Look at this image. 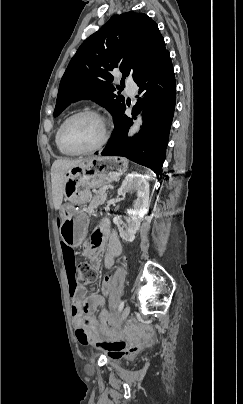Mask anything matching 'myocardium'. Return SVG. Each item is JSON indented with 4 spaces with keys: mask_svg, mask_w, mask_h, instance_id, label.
Instances as JSON below:
<instances>
[{
    "mask_svg": "<svg viewBox=\"0 0 243 404\" xmlns=\"http://www.w3.org/2000/svg\"><path fill=\"white\" fill-rule=\"evenodd\" d=\"M82 115L95 116V117L99 118L104 124V131H103V136H102L101 140L96 145H94L92 147H88V148H82V147L72 145V144L68 143L63 136V132H64V129L67 126V124L70 121H72L73 119H75L79 116H82ZM108 138H109V132H108L105 118L98 111H96L94 109H90V108H83V109H80V110H77V111L71 113L62 121V123L59 126V140H60L61 144L64 145L66 148H68L72 151H75L77 153L95 152V151L101 149L106 144V142L108 141Z\"/></svg>",
    "mask_w": 243,
    "mask_h": 404,
    "instance_id": "f54148a6",
    "label": "myocardium"
}]
</instances>
